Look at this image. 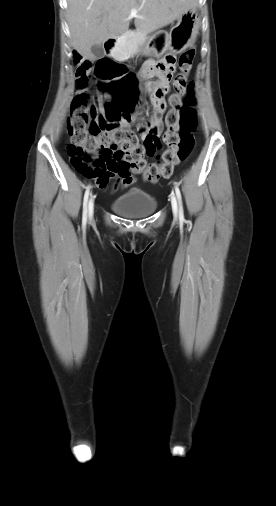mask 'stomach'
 I'll return each mask as SVG.
<instances>
[{"mask_svg": "<svg viewBox=\"0 0 276 506\" xmlns=\"http://www.w3.org/2000/svg\"><path fill=\"white\" fill-rule=\"evenodd\" d=\"M200 19L194 8L187 10L177 19V24L166 32L157 31L139 48L143 56L160 58L166 51L179 54L195 41Z\"/></svg>", "mask_w": 276, "mask_h": 506, "instance_id": "stomach-1", "label": "stomach"}]
</instances>
